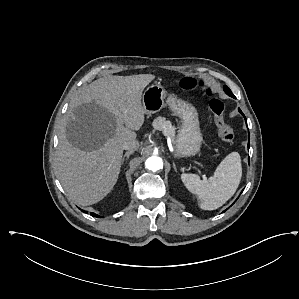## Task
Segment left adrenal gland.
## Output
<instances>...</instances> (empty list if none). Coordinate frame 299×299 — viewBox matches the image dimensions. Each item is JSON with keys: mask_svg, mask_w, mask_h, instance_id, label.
<instances>
[{"mask_svg": "<svg viewBox=\"0 0 299 299\" xmlns=\"http://www.w3.org/2000/svg\"><path fill=\"white\" fill-rule=\"evenodd\" d=\"M174 170L177 171L175 163H173Z\"/></svg>", "mask_w": 299, "mask_h": 299, "instance_id": "left-adrenal-gland-1", "label": "left adrenal gland"}]
</instances>
